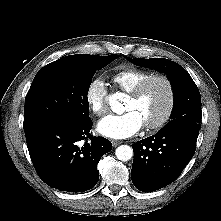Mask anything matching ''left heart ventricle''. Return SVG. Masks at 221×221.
<instances>
[{
	"instance_id": "1",
	"label": "left heart ventricle",
	"mask_w": 221,
	"mask_h": 221,
	"mask_svg": "<svg viewBox=\"0 0 221 221\" xmlns=\"http://www.w3.org/2000/svg\"><path fill=\"white\" fill-rule=\"evenodd\" d=\"M168 104V91L161 81H153L146 88L142 96L133 100L129 97L125 111L137 113L143 125L157 121L166 110Z\"/></svg>"
}]
</instances>
